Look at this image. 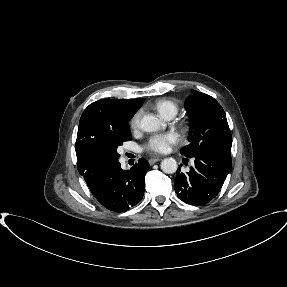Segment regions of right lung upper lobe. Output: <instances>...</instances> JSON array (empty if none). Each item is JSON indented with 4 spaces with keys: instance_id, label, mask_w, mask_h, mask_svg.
Wrapping results in <instances>:
<instances>
[{
    "instance_id": "1",
    "label": "right lung upper lobe",
    "mask_w": 287,
    "mask_h": 287,
    "mask_svg": "<svg viewBox=\"0 0 287 287\" xmlns=\"http://www.w3.org/2000/svg\"><path fill=\"white\" fill-rule=\"evenodd\" d=\"M144 100L103 99L85 109L80 118L76 140L78 171L85 181L105 164L101 157L102 140L126 128Z\"/></svg>"
}]
</instances>
